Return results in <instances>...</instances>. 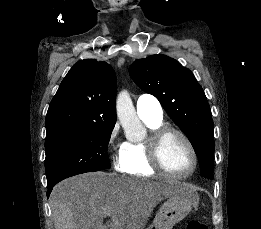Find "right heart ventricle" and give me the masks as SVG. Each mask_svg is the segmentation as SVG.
Returning <instances> with one entry per match:
<instances>
[{
	"mask_svg": "<svg viewBox=\"0 0 261 229\" xmlns=\"http://www.w3.org/2000/svg\"><path fill=\"white\" fill-rule=\"evenodd\" d=\"M150 130V135L142 141L124 143L123 151L126 160L125 171L131 175L151 176L156 172L150 160V141L152 134L164 126L163 119L159 121L141 118Z\"/></svg>",
	"mask_w": 261,
	"mask_h": 229,
	"instance_id": "right-heart-ventricle-1",
	"label": "right heart ventricle"
}]
</instances>
